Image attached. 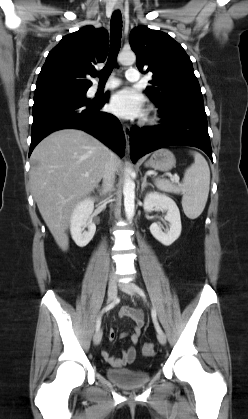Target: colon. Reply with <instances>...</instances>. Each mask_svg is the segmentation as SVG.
I'll return each instance as SVG.
<instances>
[{
    "label": "colon",
    "instance_id": "colon-1",
    "mask_svg": "<svg viewBox=\"0 0 248 419\" xmlns=\"http://www.w3.org/2000/svg\"><path fill=\"white\" fill-rule=\"evenodd\" d=\"M142 350L145 355H152L154 353V344L151 342H145Z\"/></svg>",
    "mask_w": 248,
    "mask_h": 419
}]
</instances>
